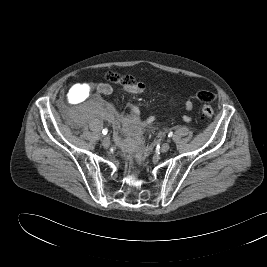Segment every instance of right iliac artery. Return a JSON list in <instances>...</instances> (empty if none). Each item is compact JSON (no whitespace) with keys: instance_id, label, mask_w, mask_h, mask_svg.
I'll return each instance as SVG.
<instances>
[{"instance_id":"1","label":"right iliac artery","mask_w":267,"mask_h":267,"mask_svg":"<svg viewBox=\"0 0 267 267\" xmlns=\"http://www.w3.org/2000/svg\"><path fill=\"white\" fill-rule=\"evenodd\" d=\"M102 133H103L104 135H106V134L108 133V130H107V129H103Z\"/></svg>"}]
</instances>
